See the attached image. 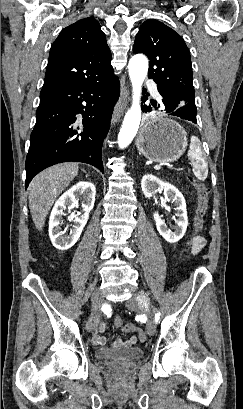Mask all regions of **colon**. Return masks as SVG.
<instances>
[{"mask_svg":"<svg viewBox=\"0 0 243 409\" xmlns=\"http://www.w3.org/2000/svg\"><path fill=\"white\" fill-rule=\"evenodd\" d=\"M195 185H196V190H197L198 203H197V209H196L195 218H194L193 233L189 240L190 250H192V247L194 246L195 242L200 236L199 233L203 228L204 217L206 214V210L208 208L209 189L204 184H201V183H196ZM114 324L117 327L122 328L124 332H127V333L137 332L140 340L145 341L146 339L145 333L141 329L137 328L135 325L131 323H124L121 317L116 316L114 318Z\"/></svg>","mask_w":243,"mask_h":409,"instance_id":"1","label":"colon"}]
</instances>
